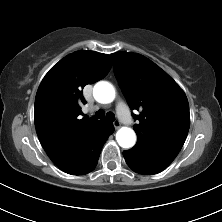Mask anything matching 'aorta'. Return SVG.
I'll use <instances>...</instances> for the list:
<instances>
[{"instance_id": "1", "label": "aorta", "mask_w": 222, "mask_h": 222, "mask_svg": "<svg viewBox=\"0 0 222 222\" xmlns=\"http://www.w3.org/2000/svg\"><path fill=\"white\" fill-rule=\"evenodd\" d=\"M93 96L99 103L108 104L115 98V89L109 82L100 81L93 88ZM116 140L122 148H131L136 142V134L133 129L122 127L116 133Z\"/></svg>"}]
</instances>
